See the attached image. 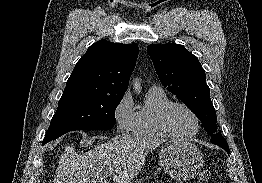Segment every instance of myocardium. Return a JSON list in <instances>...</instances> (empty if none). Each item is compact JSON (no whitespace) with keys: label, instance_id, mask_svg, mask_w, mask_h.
<instances>
[{"label":"myocardium","instance_id":"f54148a6","mask_svg":"<svg viewBox=\"0 0 262 183\" xmlns=\"http://www.w3.org/2000/svg\"><path fill=\"white\" fill-rule=\"evenodd\" d=\"M176 107H181L187 110L195 119L196 122V128L193 132L187 133V134H182L178 133L169 124V116L172 110ZM159 123L161 129L170 137L174 138H179V139H187L195 136L201 127V121L197 113L187 104L182 103V102H170L161 112L160 117H159Z\"/></svg>","mask_w":262,"mask_h":183}]
</instances>
